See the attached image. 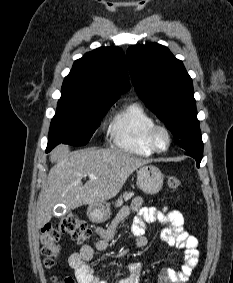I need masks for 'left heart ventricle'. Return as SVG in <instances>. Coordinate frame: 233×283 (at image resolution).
<instances>
[{
  "instance_id": "b2bd125f",
  "label": "left heart ventricle",
  "mask_w": 233,
  "mask_h": 283,
  "mask_svg": "<svg viewBox=\"0 0 233 283\" xmlns=\"http://www.w3.org/2000/svg\"><path fill=\"white\" fill-rule=\"evenodd\" d=\"M156 141H157V145H158L160 148L165 147V145H166V138H165V136H164L163 134L160 133V134L157 136Z\"/></svg>"
}]
</instances>
